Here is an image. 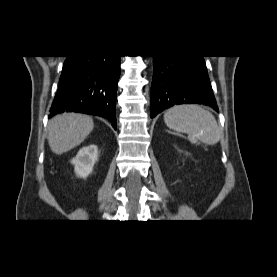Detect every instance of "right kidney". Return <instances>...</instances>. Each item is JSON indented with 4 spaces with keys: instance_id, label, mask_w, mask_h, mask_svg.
Masks as SVG:
<instances>
[{
    "instance_id": "obj_1",
    "label": "right kidney",
    "mask_w": 277,
    "mask_h": 277,
    "mask_svg": "<svg viewBox=\"0 0 277 277\" xmlns=\"http://www.w3.org/2000/svg\"><path fill=\"white\" fill-rule=\"evenodd\" d=\"M97 158L98 147L96 145L91 144L81 148L71 161L75 173L82 178H86L92 172Z\"/></svg>"
}]
</instances>
